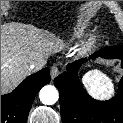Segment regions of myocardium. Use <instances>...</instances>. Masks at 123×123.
Instances as JSON below:
<instances>
[{
    "mask_svg": "<svg viewBox=\"0 0 123 123\" xmlns=\"http://www.w3.org/2000/svg\"><path fill=\"white\" fill-rule=\"evenodd\" d=\"M97 40H98V35L97 34L90 35L80 45L79 52L81 54L87 53L95 45V43L97 42Z\"/></svg>",
    "mask_w": 123,
    "mask_h": 123,
    "instance_id": "obj_1",
    "label": "myocardium"
}]
</instances>
